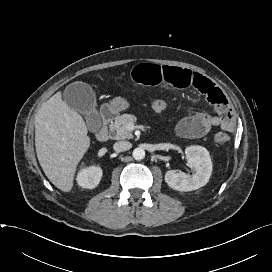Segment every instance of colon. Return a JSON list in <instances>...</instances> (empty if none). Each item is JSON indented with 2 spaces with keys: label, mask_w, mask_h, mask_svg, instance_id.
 Listing matches in <instances>:
<instances>
[{
  "label": "colon",
  "mask_w": 272,
  "mask_h": 272,
  "mask_svg": "<svg viewBox=\"0 0 272 272\" xmlns=\"http://www.w3.org/2000/svg\"><path fill=\"white\" fill-rule=\"evenodd\" d=\"M150 107L152 110L160 112L168 107V102L162 99H155L150 103ZM214 139L218 144H225L228 141V135L225 132H218Z\"/></svg>",
  "instance_id": "5ec220e1"
}]
</instances>
